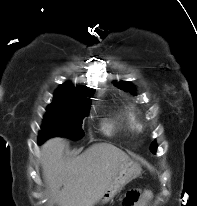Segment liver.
<instances>
[{"label":"liver","mask_w":197,"mask_h":206,"mask_svg":"<svg viewBox=\"0 0 197 206\" xmlns=\"http://www.w3.org/2000/svg\"><path fill=\"white\" fill-rule=\"evenodd\" d=\"M64 147V139L56 137L41 148L43 178L50 200L58 206H93L128 156L111 144L99 143L78 157L65 160Z\"/></svg>","instance_id":"6515ba94"}]
</instances>
